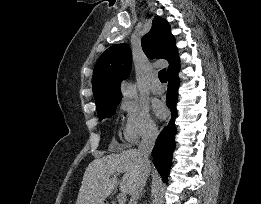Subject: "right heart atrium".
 I'll return each mask as SVG.
<instances>
[{
  "instance_id": "obj_1",
  "label": "right heart atrium",
  "mask_w": 261,
  "mask_h": 204,
  "mask_svg": "<svg viewBox=\"0 0 261 204\" xmlns=\"http://www.w3.org/2000/svg\"><path fill=\"white\" fill-rule=\"evenodd\" d=\"M125 115L122 126V137L126 145L133 146L141 140L151 139L158 132L148 106L137 99L125 98L119 106Z\"/></svg>"
}]
</instances>
